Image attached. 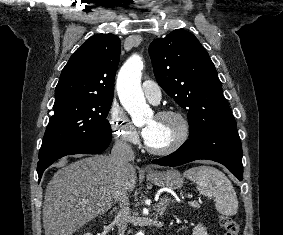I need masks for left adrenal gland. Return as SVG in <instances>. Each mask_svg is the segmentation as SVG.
<instances>
[{
  "instance_id": "obj_1",
  "label": "left adrenal gland",
  "mask_w": 283,
  "mask_h": 235,
  "mask_svg": "<svg viewBox=\"0 0 283 235\" xmlns=\"http://www.w3.org/2000/svg\"><path fill=\"white\" fill-rule=\"evenodd\" d=\"M171 203V201H170V198L169 197H167V196H164V197H162L161 199H160V201H159V203L156 205V207H157V213L160 215V216H162L164 213H165V211H166V208H167V206H169V204Z\"/></svg>"
}]
</instances>
